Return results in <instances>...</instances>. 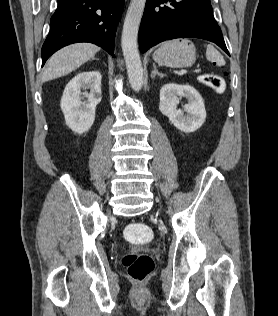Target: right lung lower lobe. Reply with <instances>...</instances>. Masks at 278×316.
I'll list each match as a JSON object with an SVG mask.
<instances>
[{"label":"right lung lower lobe","instance_id":"obj_1","mask_svg":"<svg viewBox=\"0 0 278 316\" xmlns=\"http://www.w3.org/2000/svg\"><path fill=\"white\" fill-rule=\"evenodd\" d=\"M123 5L124 0H58L42 47V66L54 52L77 42L94 43L113 55Z\"/></svg>","mask_w":278,"mask_h":316}]
</instances>
